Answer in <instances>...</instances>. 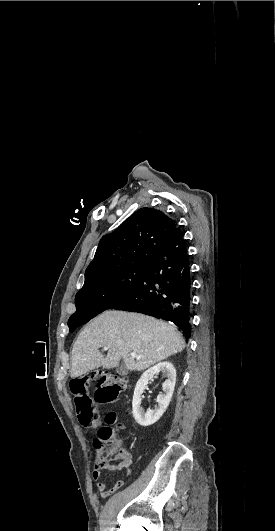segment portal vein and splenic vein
I'll return each instance as SVG.
<instances>
[{
  "mask_svg": "<svg viewBox=\"0 0 275 531\" xmlns=\"http://www.w3.org/2000/svg\"><path fill=\"white\" fill-rule=\"evenodd\" d=\"M104 351H108V347H103ZM131 357H133V359H142V357H138V355H136V353H130Z\"/></svg>",
  "mask_w": 275,
  "mask_h": 531,
  "instance_id": "18ae733b",
  "label": "portal vein and splenic vein"
}]
</instances>
